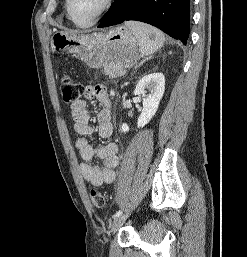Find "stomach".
<instances>
[{"instance_id":"1","label":"stomach","mask_w":247,"mask_h":257,"mask_svg":"<svg viewBox=\"0 0 247 257\" xmlns=\"http://www.w3.org/2000/svg\"><path fill=\"white\" fill-rule=\"evenodd\" d=\"M52 48L58 53H76L91 68L108 63L123 67L138 60L137 42L126 26H117L107 32L72 35L56 32L52 36Z\"/></svg>"}]
</instances>
